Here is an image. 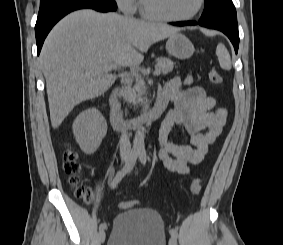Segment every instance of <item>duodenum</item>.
Here are the masks:
<instances>
[{
  "label": "duodenum",
  "mask_w": 283,
  "mask_h": 245,
  "mask_svg": "<svg viewBox=\"0 0 283 245\" xmlns=\"http://www.w3.org/2000/svg\"><path fill=\"white\" fill-rule=\"evenodd\" d=\"M168 99L165 95L159 93L157 100L152 108L142 115L127 119L124 117L121 104L118 97V89L113 90L109 99L110 118L112 125L117 130H126L149 125L156 121L166 109Z\"/></svg>",
  "instance_id": "1"
}]
</instances>
